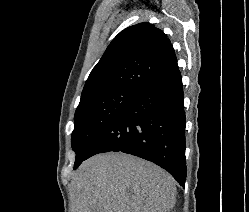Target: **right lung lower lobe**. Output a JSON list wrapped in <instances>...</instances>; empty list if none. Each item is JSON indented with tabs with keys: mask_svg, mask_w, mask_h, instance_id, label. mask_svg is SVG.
Masks as SVG:
<instances>
[{
	"mask_svg": "<svg viewBox=\"0 0 249 212\" xmlns=\"http://www.w3.org/2000/svg\"><path fill=\"white\" fill-rule=\"evenodd\" d=\"M109 151L151 161L184 187L185 112L179 70L142 90L98 137L87 159Z\"/></svg>",
	"mask_w": 249,
	"mask_h": 212,
	"instance_id": "obj_1",
	"label": "right lung lower lobe"
}]
</instances>
